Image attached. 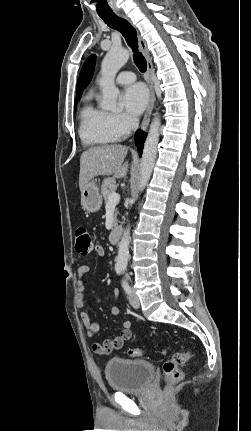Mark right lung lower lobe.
<instances>
[{"instance_id": "right-lung-lower-lobe-1", "label": "right lung lower lobe", "mask_w": 251, "mask_h": 431, "mask_svg": "<svg viewBox=\"0 0 251 431\" xmlns=\"http://www.w3.org/2000/svg\"><path fill=\"white\" fill-rule=\"evenodd\" d=\"M145 138H146V133L142 132L141 130H138L136 132L135 141H136V145H137L138 152H139L140 156L142 154Z\"/></svg>"}]
</instances>
